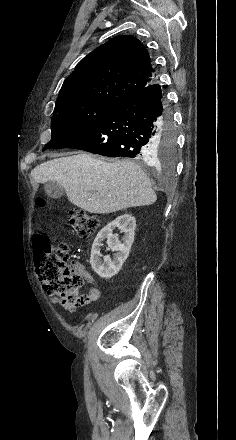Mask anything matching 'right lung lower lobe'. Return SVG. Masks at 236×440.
I'll return each instance as SVG.
<instances>
[{"mask_svg": "<svg viewBox=\"0 0 236 440\" xmlns=\"http://www.w3.org/2000/svg\"><path fill=\"white\" fill-rule=\"evenodd\" d=\"M172 130L162 87L152 84L86 131L54 148H74L108 157L150 161L160 134Z\"/></svg>", "mask_w": 236, "mask_h": 440, "instance_id": "right-lung-lower-lobe-1", "label": "right lung lower lobe"}]
</instances>
